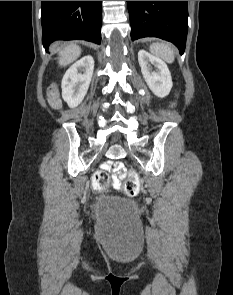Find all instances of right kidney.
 <instances>
[{"label": "right kidney", "mask_w": 233, "mask_h": 295, "mask_svg": "<svg viewBox=\"0 0 233 295\" xmlns=\"http://www.w3.org/2000/svg\"><path fill=\"white\" fill-rule=\"evenodd\" d=\"M94 70V59L88 55L75 62L62 79V98L74 108L84 99Z\"/></svg>", "instance_id": "1"}]
</instances>
